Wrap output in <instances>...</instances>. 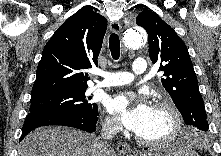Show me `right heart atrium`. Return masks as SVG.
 Listing matches in <instances>:
<instances>
[{
  "instance_id": "right-heart-atrium-1",
  "label": "right heart atrium",
  "mask_w": 221,
  "mask_h": 156,
  "mask_svg": "<svg viewBox=\"0 0 221 156\" xmlns=\"http://www.w3.org/2000/svg\"><path fill=\"white\" fill-rule=\"evenodd\" d=\"M103 128L108 133H113L117 130V124L113 118L106 117L103 122Z\"/></svg>"
}]
</instances>
